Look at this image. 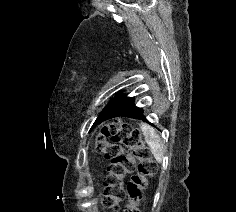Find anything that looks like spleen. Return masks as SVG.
Listing matches in <instances>:
<instances>
[{
	"label": "spleen",
	"instance_id": "spleen-1",
	"mask_svg": "<svg viewBox=\"0 0 236 212\" xmlns=\"http://www.w3.org/2000/svg\"><path fill=\"white\" fill-rule=\"evenodd\" d=\"M141 131L144 135L145 142L150 147L156 161L160 163L163 159L164 149L159 135L155 129L145 123L140 124Z\"/></svg>",
	"mask_w": 236,
	"mask_h": 212
}]
</instances>
